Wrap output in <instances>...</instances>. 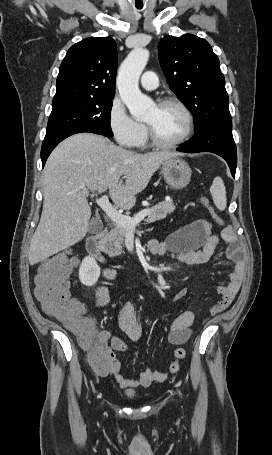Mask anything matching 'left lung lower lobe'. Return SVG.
<instances>
[{"label":"left lung lower lobe","instance_id":"1","mask_svg":"<svg viewBox=\"0 0 272 455\" xmlns=\"http://www.w3.org/2000/svg\"><path fill=\"white\" fill-rule=\"evenodd\" d=\"M177 150L186 153H215L227 161L232 176L235 178L237 152L232 135V121L216 123L197 132L193 138Z\"/></svg>","mask_w":272,"mask_h":455}]
</instances>
